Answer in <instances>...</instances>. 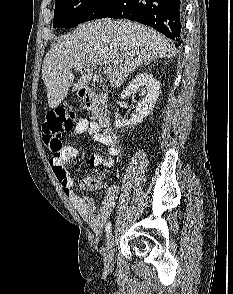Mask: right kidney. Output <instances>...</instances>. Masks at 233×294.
Returning <instances> with one entry per match:
<instances>
[{
  "instance_id": "ca27d5eb",
  "label": "right kidney",
  "mask_w": 233,
  "mask_h": 294,
  "mask_svg": "<svg viewBox=\"0 0 233 294\" xmlns=\"http://www.w3.org/2000/svg\"><path fill=\"white\" fill-rule=\"evenodd\" d=\"M137 91L142 95V99L136 102L135 114L129 120H116V129L137 125L153 111L161 92L160 83L150 73H139L122 91L120 98L133 96ZM132 101L135 102L134 99Z\"/></svg>"
}]
</instances>
